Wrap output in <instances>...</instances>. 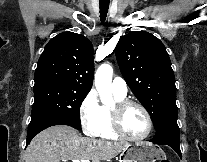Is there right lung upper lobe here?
<instances>
[{
	"instance_id": "cb5924a9",
	"label": "right lung upper lobe",
	"mask_w": 207,
	"mask_h": 162,
	"mask_svg": "<svg viewBox=\"0 0 207 162\" xmlns=\"http://www.w3.org/2000/svg\"><path fill=\"white\" fill-rule=\"evenodd\" d=\"M93 47L83 35L63 32L45 46L35 70L34 88L58 86L89 92L93 81Z\"/></svg>"
}]
</instances>
